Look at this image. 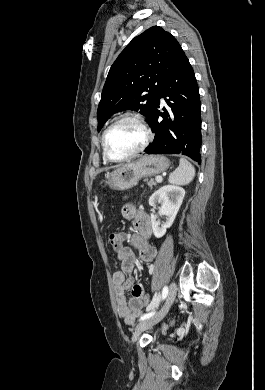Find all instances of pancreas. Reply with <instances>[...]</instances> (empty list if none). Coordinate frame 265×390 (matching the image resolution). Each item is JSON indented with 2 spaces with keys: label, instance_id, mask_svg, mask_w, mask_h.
I'll list each match as a JSON object with an SVG mask.
<instances>
[{
  "label": "pancreas",
  "instance_id": "1",
  "mask_svg": "<svg viewBox=\"0 0 265 390\" xmlns=\"http://www.w3.org/2000/svg\"><path fill=\"white\" fill-rule=\"evenodd\" d=\"M146 181H147L148 185H150V186H154L156 184L153 179L146 180Z\"/></svg>",
  "mask_w": 265,
  "mask_h": 390
}]
</instances>
